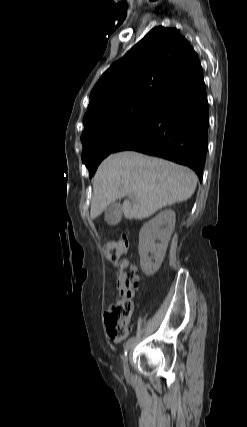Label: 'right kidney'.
I'll use <instances>...</instances> for the list:
<instances>
[{
	"instance_id": "right-kidney-1",
	"label": "right kidney",
	"mask_w": 247,
	"mask_h": 427,
	"mask_svg": "<svg viewBox=\"0 0 247 427\" xmlns=\"http://www.w3.org/2000/svg\"><path fill=\"white\" fill-rule=\"evenodd\" d=\"M176 214L166 209L144 224L139 233V255L141 269L145 275H154L160 268L175 228ZM159 240L160 243H155ZM152 253L153 257L148 254Z\"/></svg>"
}]
</instances>
